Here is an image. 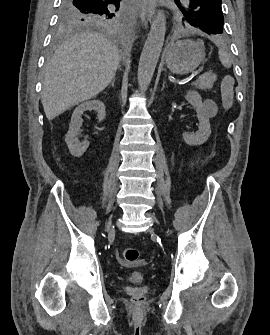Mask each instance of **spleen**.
<instances>
[{"label":"spleen","mask_w":270,"mask_h":335,"mask_svg":"<svg viewBox=\"0 0 270 335\" xmlns=\"http://www.w3.org/2000/svg\"><path fill=\"white\" fill-rule=\"evenodd\" d=\"M214 44H216V46H218L219 48V52H218V58L222 64V66H224V68H231V58H230V54H228V52H226V50H224V48H222V46H220L219 42H217V40H213Z\"/></svg>","instance_id":"spleen-1"}]
</instances>
